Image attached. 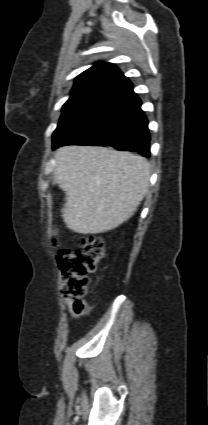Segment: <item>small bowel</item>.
I'll list each match as a JSON object with an SVG mask.
<instances>
[{
	"mask_svg": "<svg viewBox=\"0 0 208 425\" xmlns=\"http://www.w3.org/2000/svg\"><path fill=\"white\" fill-rule=\"evenodd\" d=\"M64 301L74 318H79L80 316H83L89 312L88 305L83 307L78 306V304L74 300L67 297L64 299Z\"/></svg>",
	"mask_w": 208,
	"mask_h": 425,
	"instance_id": "1",
	"label": "small bowel"
}]
</instances>
